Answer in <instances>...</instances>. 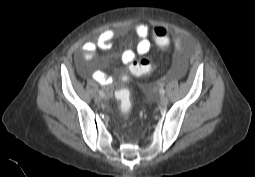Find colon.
Here are the masks:
<instances>
[{"label":"colon","mask_w":255,"mask_h":177,"mask_svg":"<svg viewBox=\"0 0 255 177\" xmlns=\"http://www.w3.org/2000/svg\"><path fill=\"white\" fill-rule=\"evenodd\" d=\"M155 38V44L158 49L164 50L169 47L170 41L168 38V31L163 27H156L153 30ZM154 68L153 62L149 58H142L138 61H134L129 66L130 73L134 75H141L152 71ZM123 80L127 81L128 77L123 76ZM116 99L119 102V108L122 114L126 115L131 110L130 91L127 88L118 90L115 94Z\"/></svg>","instance_id":"colon-1"}]
</instances>
